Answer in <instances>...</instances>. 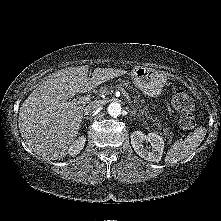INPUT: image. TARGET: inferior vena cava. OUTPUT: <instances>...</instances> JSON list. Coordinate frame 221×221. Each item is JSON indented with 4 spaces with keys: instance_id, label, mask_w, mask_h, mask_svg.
I'll list each match as a JSON object with an SVG mask.
<instances>
[{
    "instance_id": "602c4592",
    "label": "inferior vena cava",
    "mask_w": 221,
    "mask_h": 221,
    "mask_svg": "<svg viewBox=\"0 0 221 221\" xmlns=\"http://www.w3.org/2000/svg\"><path fill=\"white\" fill-rule=\"evenodd\" d=\"M102 106V103L99 101H93L91 103H89L86 107H85V114L89 115L93 112H95L96 110H98L100 107Z\"/></svg>"
}]
</instances>
